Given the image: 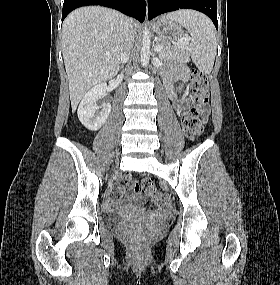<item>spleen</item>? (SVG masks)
<instances>
[{"label": "spleen", "mask_w": 280, "mask_h": 285, "mask_svg": "<svg viewBox=\"0 0 280 285\" xmlns=\"http://www.w3.org/2000/svg\"><path fill=\"white\" fill-rule=\"evenodd\" d=\"M167 18L181 24L191 35L189 49L197 68L210 74L216 55L217 42L215 27L208 17L192 10H179L167 15Z\"/></svg>", "instance_id": "spleen-1"}]
</instances>
